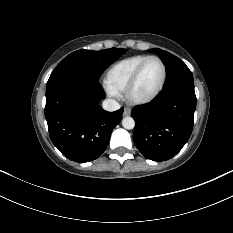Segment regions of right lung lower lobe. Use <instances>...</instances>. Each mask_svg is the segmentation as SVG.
<instances>
[{
  "instance_id": "right-lung-lower-lobe-1",
  "label": "right lung lower lobe",
  "mask_w": 233,
  "mask_h": 233,
  "mask_svg": "<svg viewBox=\"0 0 233 233\" xmlns=\"http://www.w3.org/2000/svg\"><path fill=\"white\" fill-rule=\"evenodd\" d=\"M105 94L98 81L61 76L48 80L45 117L53 144L68 159L89 162L106 149L123 108L107 112L99 106Z\"/></svg>"
}]
</instances>
